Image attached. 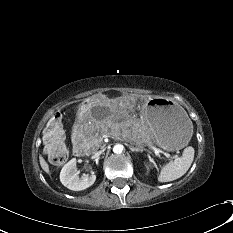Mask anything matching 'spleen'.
I'll return each mask as SVG.
<instances>
[{
    "label": "spleen",
    "mask_w": 233,
    "mask_h": 233,
    "mask_svg": "<svg viewBox=\"0 0 233 233\" xmlns=\"http://www.w3.org/2000/svg\"><path fill=\"white\" fill-rule=\"evenodd\" d=\"M194 148L189 146L177 160L166 164L158 176L159 182H169L182 177L190 168L194 159Z\"/></svg>",
    "instance_id": "3e777b00"
}]
</instances>
